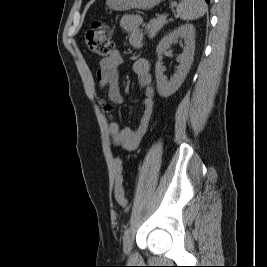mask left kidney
<instances>
[{"mask_svg":"<svg viewBox=\"0 0 267 267\" xmlns=\"http://www.w3.org/2000/svg\"><path fill=\"white\" fill-rule=\"evenodd\" d=\"M178 39L184 40L185 48L183 53L178 56L179 66L177 67L176 73L170 78V80H167L164 75L162 62L159 60L155 65L157 91L161 97H169L179 89L193 62L195 51V28L192 24L181 25L164 36L156 48L158 57H161L163 52Z\"/></svg>","mask_w":267,"mask_h":267,"instance_id":"left-kidney-1","label":"left kidney"}]
</instances>
